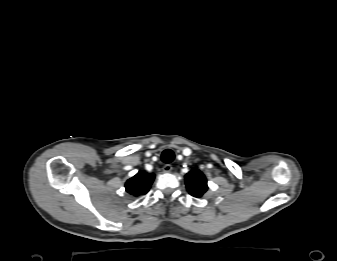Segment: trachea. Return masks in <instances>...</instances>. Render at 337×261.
Returning a JSON list of instances; mask_svg holds the SVG:
<instances>
[{
    "label": "trachea",
    "mask_w": 337,
    "mask_h": 261,
    "mask_svg": "<svg viewBox=\"0 0 337 261\" xmlns=\"http://www.w3.org/2000/svg\"><path fill=\"white\" fill-rule=\"evenodd\" d=\"M174 152L171 149H166L161 154V159L164 163H171L174 160Z\"/></svg>",
    "instance_id": "3493384b"
}]
</instances>
